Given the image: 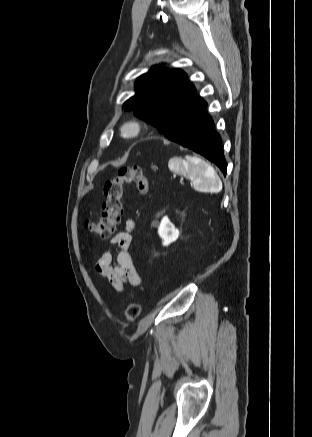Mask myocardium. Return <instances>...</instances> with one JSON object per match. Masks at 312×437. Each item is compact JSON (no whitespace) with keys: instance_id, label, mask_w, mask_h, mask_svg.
Instances as JSON below:
<instances>
[{"instance_id":"f54148a6","label":"myocardium","mask_w":312,"mask_h":437,"mask_svg":"<svg viewBox=\"0 0 312 437\" xmlns=\"http://www.w3.org/2000/svg\"><path fill=\"white\" fill-rule=\"evenodd\" d=\"M142 131V122L138 119L126 120L120 128L121 135L126 139L136 138Z\"/></svg>"}]
</instances>
